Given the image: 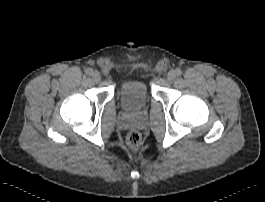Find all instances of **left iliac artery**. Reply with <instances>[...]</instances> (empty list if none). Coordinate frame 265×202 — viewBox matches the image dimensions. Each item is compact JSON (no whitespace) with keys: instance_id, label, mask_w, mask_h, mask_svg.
Here are the masks:
<instances>
[{"instance_id":"left-iliac-artery-1","label":"left iliac artery","mask_w":265,"mask_h":202,"mask_svg":"<svg viewBox=\"0 0 265 202\" xmlns=\"http://www.w3.org/2000/svg\"><path fill=\"white\" fill-rule=\"evenodd\" d=\"M175 72H176L177 75H181L182 74V70L180 68H177L175 70Z\"/></svg>"}]
</instances>
